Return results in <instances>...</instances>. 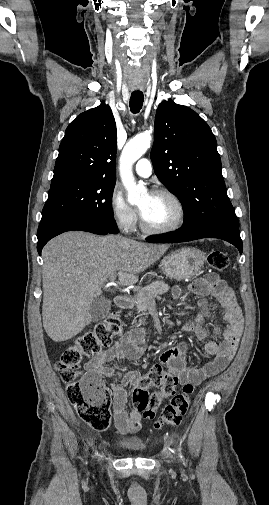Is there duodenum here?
Masks as SVG:
<instances>
[{"label": "duodenum", "instance_id": "410a0bca", "mask_svg": "<svg viewBox=\"0 0 269 505\" xmlns=\"http://www.w3.org/2000/svg\"><path fill=\"white\" fill-rule=\"evenodd\" d=\"M115 304L119 308H129L132 305V300L128 295H118L115 297Z\"/></svg>", "mask_w": 269, "mask_h": 505}]
</instances>
